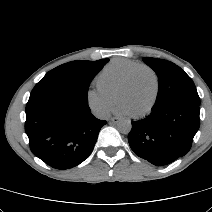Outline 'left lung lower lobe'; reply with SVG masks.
Masks as SVG:
<instances>
[{
	"instance_id": "0a47b994",
	"label": "left lung lower lobe",
	"mask_w": 212,
	"mask_h": 212,
	"mask_svg": "<svg viewBox=\"0 0 212 212\" xmlns=\"http://www.w3.org/2000/svg\"><path fill=\"white\" fill-rule=\"evenodd\" d=\"M199 105L175 100L155 105L146 118L133 121L128 142L137 156L156 166L188 153L200 126Z\"/></svg>"
}]
</instances>
